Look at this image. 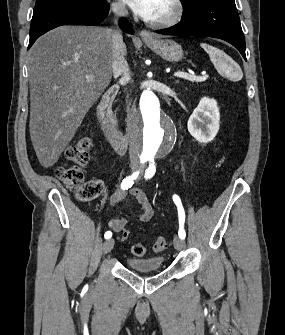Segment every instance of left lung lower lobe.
I'll use <instances>...</instances> for the list:
<instances>
[{"label": "left lung lower lobe", "mask_w": 285, "mask_h": 335, "mask_svg": "<svg viewBox=\"0 0 285 335\" xmlns=\"http://www.w3.org/2000/svg\"><path fill=\"white\" fill-rule=\"evenodd\" d=\"M183 7L184 14L178 24L157 32L219 38L235 46L246 60L245 39L234 0H198Z\"/></svg>", "instance_id": "0a47b994"}]
</instances>
